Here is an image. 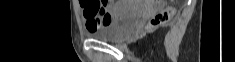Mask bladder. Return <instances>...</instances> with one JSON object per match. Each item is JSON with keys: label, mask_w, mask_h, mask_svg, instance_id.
Masks as SVG:
<instances>
[{"label": "bladder", "mask_w": 235, "mask_h": 62, "mask_svg": "<svg viewBox=\"0 0 235 62\" xmlns=\"http://www.w3.org/2000/svg\"><path fill=\"white\" fill-rule=\"evenodd\" d=\"M108 23L88 31V37L100 41L117 42L123 40L136 26L141 17V7L134 1H127Z\"/></svg>", "instance_id": "1"}]
</instances>
